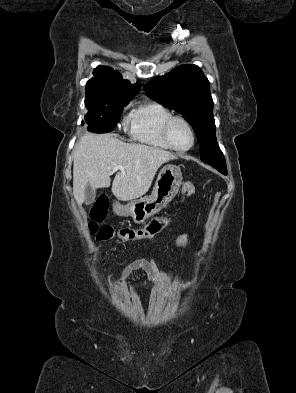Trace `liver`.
<instances>
[{
    "instance_id": "1",
    "label": "liver",
    "mask_w": 296,
    "mask_h": 393,
    "mask_svg": "<svg viewBox=\"0 0 296 393\" xmlns=\"http://www.w3.org/2000/svg\"><path fill=\"white\" fill-rule=\"evenodd\" d=\"M177 157L168 151L141 144H128L110 134L86 133L76 144L73 159V194L80 205L85 190L110 186L113 168L121 165L112 193L121 201L144 195L159 167Z\"/></svg>"
}]
</instances>
